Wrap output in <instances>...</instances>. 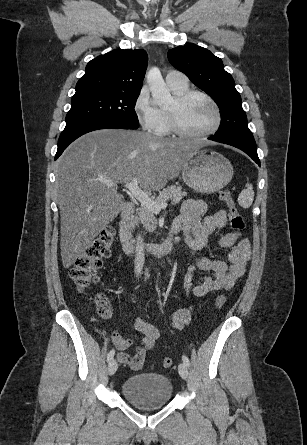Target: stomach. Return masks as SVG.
I'll use <instances>...</instances> for the list:
<instances>
[{
    "instance_id": "1",
    "label": "stomach",
    "mask_w": 307,
    "mask_h": 445,
    "mask_svg": "<svg viewBox=\"0 0 307 445\" xmlns=\"http://www.w3.org/2000/svg\"><path fill=\"white\" fill-rule=\"evenodd\" d=\"M233 176V166L223 154L210 148H197L182 168V178L202 194L222 190Z\"/></svg>"
}]
</instances>
